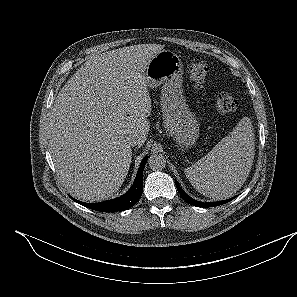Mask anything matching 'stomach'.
Segmentation results:
<instances>
[{"mask_svg": "<svg viewBox=\"0 0 297 297\" xmlns=\"http://www.w3.org/2000/svg\"><path fill=\"white\" fill-rule=\"evenodd\" d=\"M183 64L170 50H161L148 63L145 76L150 88L161 87V106L167 133L181 150L192 146L199 136V123L182 92Z\"/></svg>", "mask_w": 297, "mask_h": 297, "instance_id": "obj_1", "label": "stomach"}]
</instances>
